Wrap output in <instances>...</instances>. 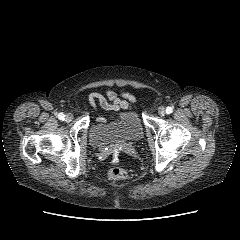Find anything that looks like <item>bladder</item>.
<instances>
[{
	"label": "bladder",
	"mask_w": 240,
	"mask_h": 240,
	"mask_svg": "<svg viewBox=\"0 0 240 240\" xmlns=\"http://www.w3.org/2000/svg\"><path fill=\"white\" fill-rule=\"evenodd\" d=\"M144 136L140 117L132 110H125L104 121L95 122L89 141L92 147L103 149L110 146L136 145Z\"/></svg>",
	"instance_id": "31cf9c89"
}]
</instances>
